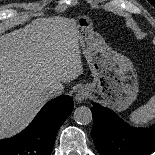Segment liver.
<instances>
[{
	"label": "liver",
	"instance_id": "liver-1",
	"mask_svg": "<svg viewBox=\"0 0 155 155\" xmlns=\"http://www.w3.org/2000/svg\"><path fill=\"white\" fill-rule=\"evenodd\" d=\"M82 73L74 19L38 18L0 36V139L31 122L48 100L47 86L63 87Z\"/></svg>",
	"mask_w": 155,
	"mask_h": 155
}]
</instances>
